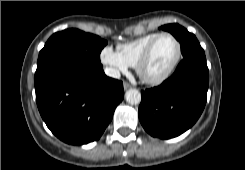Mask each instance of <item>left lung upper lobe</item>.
<instances>
[{"instance_id": "1", "label": "left lung upper lobe", "mask_w": 245, "mask_h": 170, "mask_svg": "<svg viewBox=\"0 0 245 170\" xmlns=\"http://www.w3.org/2000/svg\"><path fill=\"white\" fill-rule=\"evenodd\" d=\"M170 32L181 44V52L184 58H196L206 60L204 50L200 46L195 35L178 24H168L161 27Z\"/></svg>"}]
</instances>
